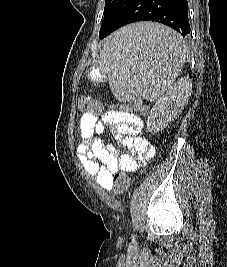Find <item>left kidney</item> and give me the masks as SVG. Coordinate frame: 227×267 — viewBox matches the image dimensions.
I'll return each mask as SVG.
<instances>
[{"label":"left kidney","mask_w":227,"mask_h":267,"mask_svg":"<svg viewBox=\"0 0 227 267\" xmlns=\"http://www.w3.org/2000/svg\"><path fill=\"white\" fill-rule=\"evenodd\" d=\"M192 91V80L182 77L164 96L157 100L147 118V128L150 132H159L176 118L188 103Z\"/></svg>","instance_id":"5707ae66"}]
</instances>
